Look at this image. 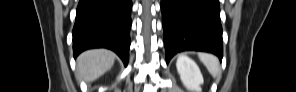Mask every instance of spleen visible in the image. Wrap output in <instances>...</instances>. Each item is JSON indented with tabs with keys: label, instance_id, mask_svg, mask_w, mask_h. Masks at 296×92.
Listing matches in <instances>:
<instances>
[{
	"label": "spleen",
	"instance_id": "spleen-1",
	"mask_svg": "<svg viewBox=\"0 0 296 92\" xmlns=\"http://www.w3.org/2000/svg\"><path fill=\"white\" fill-rule=\"evenodd\" d=\"M198 56L208 69L209 73L213 77H216L220 72V64L218 59L215 56L207 53H199Z\"/></svg>",
	"mask_w": 296,
	"mask_h": 92
}]
</instances>
